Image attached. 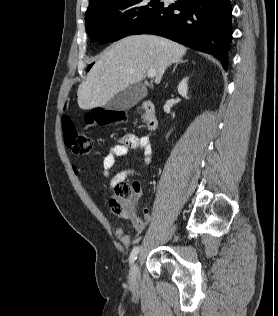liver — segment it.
<instances>
[{"label":"liver","instance_id":"liver-1","mask_svg":"<svg viewBox=\"0 0 278 316\" xmlns=\"http://www.w3.org/2000/svg\"><path fill=\"white\" fill-rule=\"evenodd\" d=\"M187 48L155 35L126 37L108 47L79 85L77 101L81 109L104 106L120 91L142 81L155 70L159 84L165 70L179 62Z\"/></svg>","mask_w":278,"mask_h":316}]
</instances>
